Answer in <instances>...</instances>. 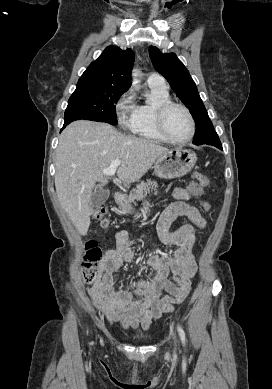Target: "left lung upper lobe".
Returning <instances> with one entry per match:
<instances>
[{
  "label": "left lung upper lobe",
  "instance_id": "1",
  "mask_svg": "<svg viewBox=\"0 0 272 389\" xmlns=\"http://www.w3.org/2000/svg\"><path fill=\"white\" fill-rule=\"evenodd\" d=\"M149 55L155 69L166 78L173 91L192 114L196 123L193 144H203L216 135L197 87L183 63L174 53L163 54L155 46H150Z\"/></svg>",
  "mask_w": 272,
  "mask_h": 389
}]
</instances>
